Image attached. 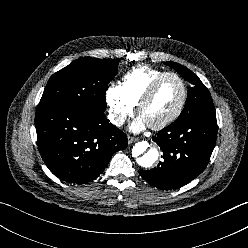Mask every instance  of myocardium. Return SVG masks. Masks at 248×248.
I'll list each match as a JSON object with an SVG mask.
<instances>
[{
  "label": "myocardium",
  "mask_w": 248,
  "mask_h": 248,
  "mask_svg": "<svg viewBox=\"0 0 248 248\" xmlns=\"http://www.w3.org/2000/svg\"><path fill=\"white\" fill-rule=\"evenodd\" d=\"M169 76L175 77L181 84V88H182L181 101H180L178 107L176 108V110L172 114H170L169 116H167L166 118H164L163 120H161L157 123L149 124V127L151 129H154V130L163 129L166 126L173 123L181 115V113L183 112V110L185 108L186 102H187L188 90H187V85H186L184 79L179 74H177L175 72H164L163 74L159 75L151 82V84L149 85V87L147 88V90L145 91L143 96L141 97L139 103L137 104L139 114L141 115L144 107L153 98L160 83L166 77H169Z\"/></svg>",
  "instance_id": "f54148a6"
}]
</instances>
